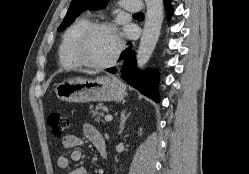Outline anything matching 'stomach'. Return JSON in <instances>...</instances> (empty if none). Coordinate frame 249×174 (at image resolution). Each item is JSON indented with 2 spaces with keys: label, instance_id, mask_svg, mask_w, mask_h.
Instances as JSON below:
<instances>
[{
  "label": "stomach",
  "instance_id": "obj_1",
  "mask_svg": "<svg viewBox=\"0 0 249 174\" xmlns=\"http://www.w3.org/2000/svg\"><path fill=\"white\" fill-rule=\"evenodd\" d=\"M55 93L59 99L68 102L121 101L126 95V87L113 76L73 78L58 83Z\"/></svg>",
  "mask_w": 249,
  "mask_h": 174
}]
</instances>
